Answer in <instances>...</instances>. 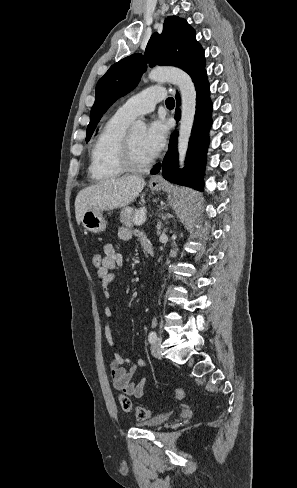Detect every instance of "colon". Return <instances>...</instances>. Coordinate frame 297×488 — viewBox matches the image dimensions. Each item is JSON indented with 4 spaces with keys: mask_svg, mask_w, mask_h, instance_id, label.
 <instances>
[{
    "mask_svg": "<svg viewBox=\"0 0 297 488\" xmlns=\"http://www.w3.org/2000/svg\"><path fill=\"white\" fill-rule=\"evenodd\" d=\"M92 264L96 269H99L102 264V256L99 253H94L92 255ZM174 396L177 400L181 401L184 398V391L182 389H176L174 392ZM118 401L120 403L121 408L125 412H134L137 419L139 420H146L148 419L152 412L150 409L145 407H134L130 398L124 394L120 393L118 395Z\"/></svg>",
    "mask_w": 297,
    "mask_h": 488,
    "instance_id": "obj_1",
    "label": "colon"
}]
</instances>
